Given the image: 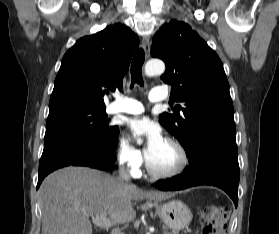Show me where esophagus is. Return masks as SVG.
I'll use <instances>...</instances> for the list:
<instances>
[{
  "label": "esophagus",
  "mask_w": 279,
  "mask_h": 234,
  "mask_svg": "<svg viewBox=\"0 0 279 234\" xmlns=\"http://www.w3.org/2000/svg\"><path fill=\"white\" fill-rule=\"evenodd\" d=\"M142 47L145 51L146 56H149V54H150V38L148 35H145L142 38Z\"/></svg>",
  "instance_id": "34e87169"
}]
</instances>
